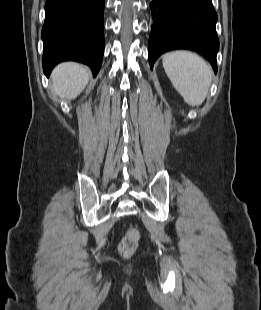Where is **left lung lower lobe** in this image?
Here are the masks:
<instances>
[{"label": "left lung lower lobe", "mask_w": 261, "mask_h": 310, "mask_svg": "<svg viewBox=\"0 0 261 310\" xmlns=\"http://www.w3.org/2000/svg\"><path fill=\"white\" fill-rule=\"evenodd\" d=\"M153 19L149 37V63L173 49H190L202 54L217 72L219 40L217 14L212 0H151Z\"/></svg>", "instance_id": "obj_1"}]
</instances>
